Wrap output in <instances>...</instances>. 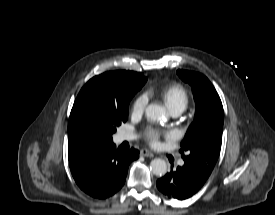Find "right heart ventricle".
Instances as JSON below:
<instances>
[{
	"label": "right heart ventricle",
	"mask_w": 275,
	"mask_h": 215,
	"mask_svg": "<svg viewBox=\"0 0 275 215\" xmlns=\"http://www.w3.org/2000/svg\"><path fill=\"white\" fill-rule=\"evenodd\" d=\"M156 94L165 102L170 111L184 110L189 102V96L185 88L173 83L159 87Z\"/></svg>",
	"instance_id": "e07e8e85"
}]
</instances>
